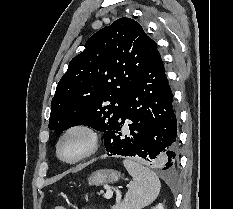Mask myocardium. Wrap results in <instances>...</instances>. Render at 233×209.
<instances>
[{
  "instance_id": "myocardium-1",
  "label": "myocardium",
  "mask_w": 233,
  "mask_h": 209,
  "mask_svg": "<svg viewBox=\"0 0 233 209\" xmlns=\"http://www.w3.org/2000/svg\"><path fill=\"white\" fill-rule=\"evenodd\" d=\"M72 134H81L86 138L87 144L85 149L73 158H65L60 153L63 141ZM100 137L98 131L90 124L76 123L67 127L59 136L56 143L57 158L67 164H75L92 156L98 149Z\"/></svg>"
}]
</instances>
